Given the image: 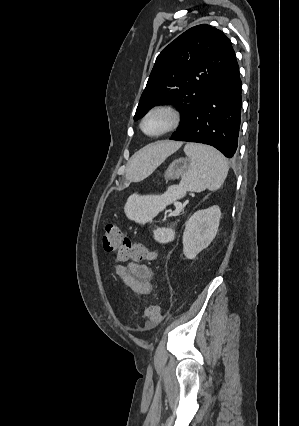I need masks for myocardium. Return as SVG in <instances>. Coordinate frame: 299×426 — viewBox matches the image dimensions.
Masks as SVG:
<instances>
[{
	"label": "myocardium",
	"mask_w": 299,
	"mask_h": 426,
	"mask_svg": "<svg viewBox=\"0 0 299 426\" xmlns=\"http://www.w3.org/2000/svg\"><path fill=\"white\" fill-rule=\"evenodd\" d=\"M156 113H165V114H167L168 116H169V118H170V123H169V125L164 129V130H162L161 132H159V133H156V134H149V133H147L146 131H145V129H144V124H145V122H146V120L150 117V116H152V115H154V114H156ZM180 122H181V115H180V113H179V111L177 110V108L176 107H174V106H172V105H170V104H159V105H155V106H153V107H151L145 114H144V116L142 117V119H141V122H140V129H141V131L146 135V136H148V137H151V138H158V137H161V136H164V135H167V134H169V133H171V132H173V131H175L178 127H179V125H180Z\"/></svg>",
	"instance_id": "myocardium-1"
}]
</instances>
